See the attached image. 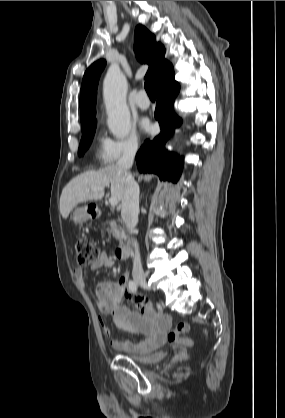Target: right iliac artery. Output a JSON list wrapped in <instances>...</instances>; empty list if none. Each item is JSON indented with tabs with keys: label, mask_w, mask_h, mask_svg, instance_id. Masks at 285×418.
I'll use <instances>...</instances> for the list:
<instances>
[{
	"label": "right iliac artery",
	"mask_w": 285,
	"mask_h": 418,
	"mask_svg": "<svg viewBox=\"0 0 285 418\" xmlns=\"http://www.w3.org/2000/svg\"><path fill=\"white\" fill-rule=\"evenodd\" d=\"M129 288H130L133 292H136V291H137V284H136L133 280H130V281H129Z\"/></svg>",
	"instance_id": "right-iliac-artery-1"
}]
</instances>
